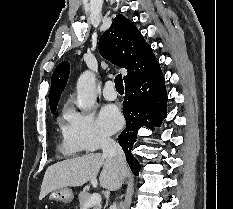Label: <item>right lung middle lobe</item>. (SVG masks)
I'll return each mask as SVG.
<instances>
[{
	"instance_id": "1",
	"label": "right lung middle lobe",
	"mask_w": 233,
	"mask_h": 209,
	"mask_svg": "<svg viewBox=\"0 0 233 209\" xmlns=\"http://www.w3.org/2000/svg\"><path fill=\"white\" fill-rule=\"evenodd\" d=\"M55 111H56V110H54V111H51V112H52V114H54V113H55Z\"/></svg>"
}]
</instances>
